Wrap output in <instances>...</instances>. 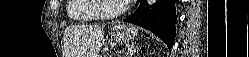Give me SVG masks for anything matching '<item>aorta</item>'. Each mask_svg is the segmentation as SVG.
Instances as JSON below:
<instances>
[{
    "label": "aorta",
    "instance_id": "aorta-1",
    "mask_svg": "<svg viewBox=\"0 0 249 57\" xmlns=\"http://www.w3.org/2000/svg\"><path fill=\"white\" fill-rule=\"evenodd\" d=\"M155 2H156V0H148L147 1L148 5H153V4H155Z\"/></svg>",
    "mask_w": 249,
    "mask_h": 57
}]
</instances>
